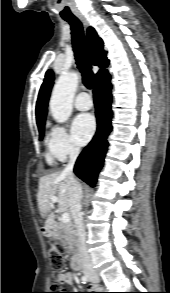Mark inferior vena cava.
<instances>
[{
    "label": "inferior vena cava",
    "mask_w": 170,
    "mask_h": 293,
    "mask_svg": "<svg viewBox=\"0 0 170 293\" xmlns=\"http://www.w3.org/2000/svg\"><path fill=\"white\" fill-rule=\"evenodd\" d=\"M80 149L77 146H72L69 152V162L63 170V174L67 177L69 182V190L71 195L72 203V215L76 227L78 250L82 261V267L85 271L93 270V263L88 253L86 246V232L83 223L82 214V187L79 182L75 179L73 174V168L75 161L79 155Z\"/></svg>",
    "instance_id": "obj_1"
}]
</instances>
